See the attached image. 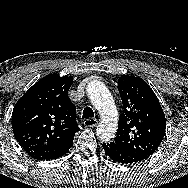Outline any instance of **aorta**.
I'll use <instances>...</instances> for the list:
<instances>
[{
    "instance_id": "762f6f07",
    "label": "aorta",
    "mask_w": 188,
    "mask_h": 188,
    "mask_svg": "<svg viewBox=\"0 0 188 188\" xmlns=\"http://www.w3.org/2000/svg\"><path fill=\"white\" fill-rule=\"evenodd\" d=\"M87 94L102 118L96 129L97 136L101 141L109 142L115 136L118 123V112L114 100L108 88L98 80L88 83Z\"/></svg>"
}]
</instances>
